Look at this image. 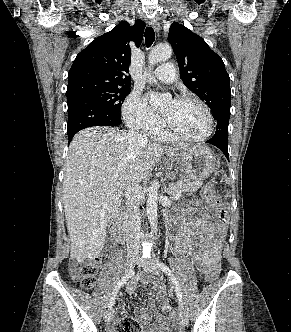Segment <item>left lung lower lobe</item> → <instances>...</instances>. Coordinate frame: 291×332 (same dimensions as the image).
<instances>
[{
	"instance_id": "1",
	"label": "left lung lower lobe",
	"mask_w": 291,
	"mask_h": 332,
	"mask_svg": "<svg viewBox=\"0 0 291 332\" xmlns=\"http://www.w3.org/2000/svg\"><path fill=\"white\" fill-rule=\"evenodd\" d=\"M213 116L217 122V130L214 136L207 142L217 146L220 150H222L229 160L227 139L230 109L225 108L220 110Z\"/></svg>"
}]
</instances>
